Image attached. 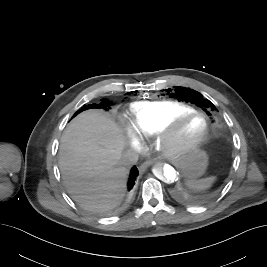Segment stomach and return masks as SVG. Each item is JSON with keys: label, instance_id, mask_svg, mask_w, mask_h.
<instances>
[{"label": "stomach", "instance_id": "obj_1", "mask_svg": "<svg viewBox=\"0 0 267 267\" xmlns=\"http://www.w3.org/2000/svg\"><path fill=\"white\" fill-rule=\"evenodd\" d=\"M178 165L188 178L197 179L204 174L208 157L204 151L191 149L179 157Z\"/></svg>", "mask_w": 267, "mask_h": 267}]
</instances>
